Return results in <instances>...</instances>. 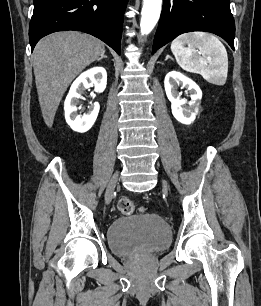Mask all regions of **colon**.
<instances>
[{"label":"colon","instance_id":"5ec220e1","mask_svg":"<svg viewBox=\"0 0 261 306\" xmlns=\"http://www.w3.org/2000/svg\"><path fill=\"white\" fill-rule=\"evenodd\" d=\"M118 208L124 215H132L138 211L137 206L127 198H123L119 201Z\"/></svg>","mask_w":261,"mask_h":306}]
</instances>
